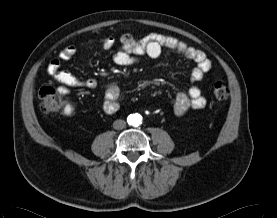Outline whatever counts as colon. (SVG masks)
<instances>
[{"instance_id": "colon-1", "label": "colon", "mask_w": 277, "mask_h": 218, "mask_svg": "<svg viewBox=\"0 0 277 218\" xmlns=\"http://www.w3.org/2000/svg\"><path fill=\"white\" fill-rule=\"evenodd\" d=\"M216 94L222 98L229 95V88L227 85L217 82L215 83ZM42 96V109L45 112H54L57 109L58 95L53 87H43L40 91Z\"/></svg>"}]
</instances>
